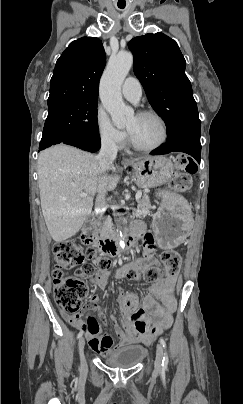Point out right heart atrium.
Returning a JSON list of instances; mask_svg holds the SVG:
<instances>
[{
  "label": "right heart atrium",
  "instance_id": "obj_1",
  "mask_svg": "<svg viewBox=\"0 0 243 404\" xmlns=\"http://www.w3.org/2000/svg\"><path fill=\"white\" fill-rule=\"evenodd\" d=\"M95 126L101 144L115 150H122L126 146L128 142L126 133L114 126L102 106H98L95 111Z\"/></svg>",
  "mask_w": 243,
  "mask_h": 404
}]
</instances>
